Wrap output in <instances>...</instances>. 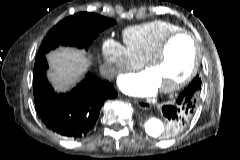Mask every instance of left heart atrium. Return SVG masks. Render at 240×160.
<instances>
[{
  "label": "left heart atrium",
  "instance_id": "left-heart-atrium-1",
  "mask_svg": "<svg viewBox=\"0 0 240 160\" xmlns=\"http://www.w3.org/2000/svg\"><path fill=\"white\" fill-rule=\"evenodd\" d=\"M118 85L123 92L134 96H149L158 89L154 80L145 71L123 75Z\"/></svg>",
  "mask_w": 240,
  "mask_h": 160
}]
</instances>
